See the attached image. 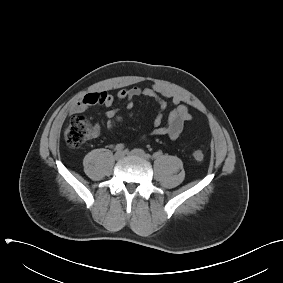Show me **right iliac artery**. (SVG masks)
Instances as JSON below:
<instances>
[{
	"label": "right iliac artery",
	"mask_w": 283,
	"mask_h": 283,
	"mask_svg": "<svg viewBox=\"0 0 283 283\" xmlns=\"http://www.w3.org/2000/svg\"><path fill=\"white\" fill-rule=\"evenodd\" d=\"M124 147H125L124 144H121V143H120V144H117V145L115 146V150H116V151H122V150L124 149Z\"/></svg>",
	"instance_id": "obj_1"
}]
</instances>
